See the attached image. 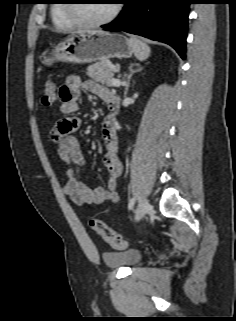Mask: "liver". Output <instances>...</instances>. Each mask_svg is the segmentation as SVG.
<instances>
[{
  "label": "liver",
  "instance_id": "liver-1",
  "mask_svg": "<svg viewBox=\"0 0 236 321\" xmlns=\"http://www.w3.org/2000/svg\"><path fill=\"white\" fill-rule=\"evenodd\" d=\"M80 32H81V31H80ZM88 32H91V33H102L103 31H101V30H98V31L88 30Z\"/></svg>",
  "mask_w": 236,
  "mask_h": 321
}]
</instances>
